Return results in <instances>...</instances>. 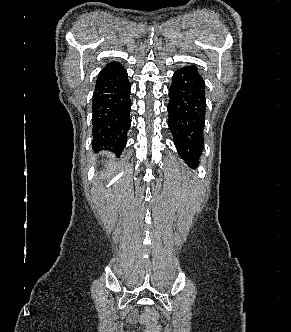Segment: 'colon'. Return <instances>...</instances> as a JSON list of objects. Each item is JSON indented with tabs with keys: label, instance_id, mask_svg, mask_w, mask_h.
Here are the masks:
<instances>
[{
	"label": "colon",
	"instance_id": "obj_1",
	"mask_svg": "<svg viewBox=\"0 0 291 332\" xmlns=\"http://www.w3.org/2000/svg\"><path fill=\"white\" fill-rule=\"evenodd\" d=\"M146 325L145 332H159L158 314L152 309H147L142 316Z\"/></svg>",
	"mask_w": 291,
	"mask_h": 332
}]
</instances>
